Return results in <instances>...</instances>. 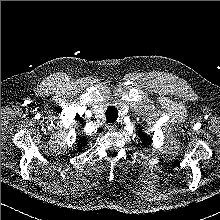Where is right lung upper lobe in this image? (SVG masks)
<instances>
[{"mask_svg": "<svg viewBox=\"0 0 220 220\" xmlns=\"http://www.w3.org/2000/svg\"><path fill=\"white\" fill-rule=\"evenodd\" d=\"M77 147L79 151H82L83 146H86L87 140L84 137H79L77 140Z\"/></svg>", "mask_w": 220, "mask_h": 220, "instance_id": "cb5924a9", "label": "right lung upper lobe"}]
</instances>
